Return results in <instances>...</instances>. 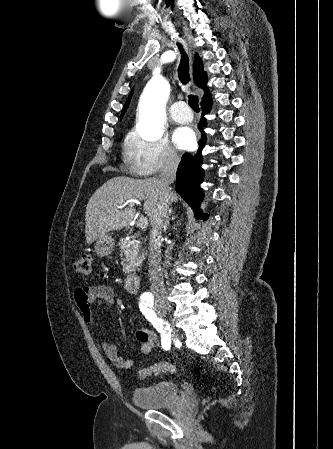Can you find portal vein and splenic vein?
Listing matches in <instances>:
<instances>
[{
  "label": "portal vein and splenic vein",
  "instance_id": "1",
  "mask_svg": "<svg viewBox=\"0 0 333 449\" xmlns=\"http://www.w3.org/2000/svg\"><path fill=\"white\" fill-rule=\"evenodd\" d=\"M138 203L139 202L137 200H130L126 204H129V206L133 207ZM137 226L141 229H145L148 226V219L146 217H141L137 222Z\"/></svg>",
  "mask_w": 333,
  "mask_h": 449
}]
</instances>
